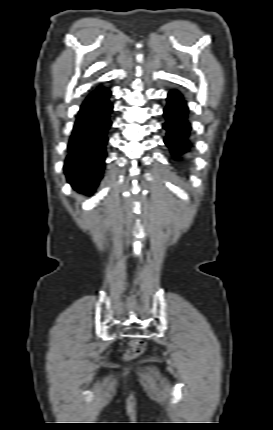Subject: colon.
<instances>
[{
  "instance_id": "5ec220e1",
  "label": "colon",
  "mask_w": 273,
  "mask_h": 430,
  "mask_svg": "<svg viewBox=\"0 0 273 430\" xmlns=\"http://www.w3.org/2000/svg\"><path fill=\"white\" fill-rule=\"evenodd\" d=\"M145 349V343L142 340L134 339L129 342V348L126 352L128 360L134 359L139 356Z\"/></svg>"
}]
</instances>
